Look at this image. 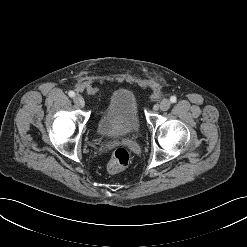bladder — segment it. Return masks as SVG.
<instances>
[{"mask_svg": "<svg viewBox=\"0 0 247 247\" xmlns=\"http://www.w3.org/2000/svg\"><path fill=\"white\" fill-rule=\"evenodd\" d=\"M139 128L135 95L127 89L115 91L98 121L99 135L106 139H119L135 134Z\"/></svg>", "mask_w": 247, "mask_h": 247, "instance_id": "1", "label": "bladder"}]
</instances>
